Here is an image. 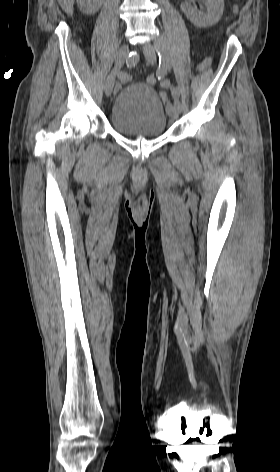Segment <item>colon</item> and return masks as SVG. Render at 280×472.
<instances>
[{
    "label": "colon",
    "instance_id": "colon-1",
    "mask_svg": "<svg viewBox=\"0 0 280 472\" xmlns=\"http://www.w3.org/2000/svg\"><path fill=\"white\" fill-rule=\"evenodd\" d=\"M146 81H147L148 84L154 85L157 82V76L154 75V74H151L147 77Z\"/></svg>",
    "mask_w": 280,
    "mask_h": 472
}]
</instances>
